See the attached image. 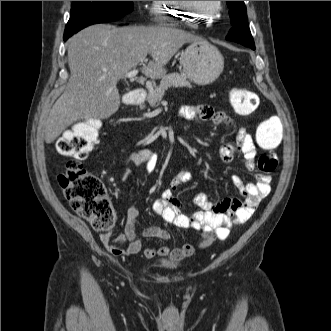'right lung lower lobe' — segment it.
I'll return each instance as SVG.
<instances>
[{"mask_svg": "<svg viewBox=\"0 0 331 331\" xmlns=\"http://www.w3.org/2000/svg\"><path fill=\"white\" fill-rule=\"evenodd\" d=\"M70 36H64V40L66 41Z\"/></svg>", "mask_w": 331, "mask_h": 331, "instance_id": "obj_1", "label": "right lung lower lobe"}]
</instances>
